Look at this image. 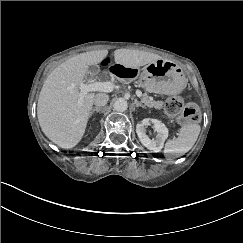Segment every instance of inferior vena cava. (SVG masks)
Masks as SVG:
<instances>
[{"instance_id": "inferior-vena-cava-1", "label": "inferior vena cava", "mask_w": 243, "mask_h": 243, "mask_svg": "<svg viewBox=\"0 0 243 243\" xmlns=\"http://www.w3.org/2000/svg\"><path fill=\"white\" fill-rule=\"evenodd\" d=\"M109 96L105 93H98L94 97V104L98 107L104 106L107 104Z\"/></svg>"}]
</instances>
